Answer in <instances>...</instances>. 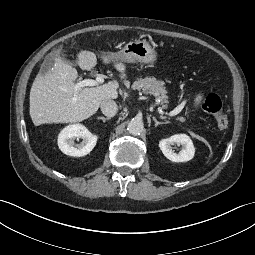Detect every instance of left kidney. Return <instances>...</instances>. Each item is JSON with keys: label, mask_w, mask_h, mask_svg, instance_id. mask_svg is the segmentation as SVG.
I'll use <instances>...</instances> for the list:
<instances>
[{"label": "left kidney", "mask_w": 255, "mask_h": 255, "mask_svg": "<svg viewBox=\"0 0 255 255\" xmlns=\"http://www.w3.org/2000/svg\"><path fill=\"white\" fill-rule=\"evenodd\" d=\"M179 144L182 150L179 153L172 150L171 145ZM159 147L166 158L173 162H186L194 157L195 148L192 140L186 134H175L169 138L162 139Z\"/></svg>", "instance_id": "5707ae66"}]
</instances>
